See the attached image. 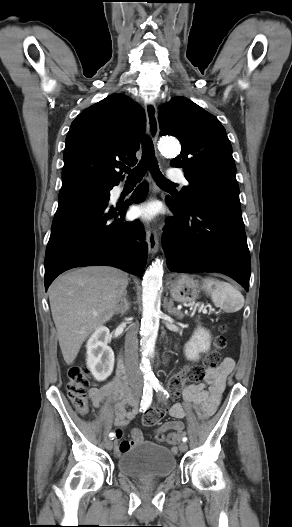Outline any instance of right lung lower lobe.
Instances as JSON below:
<instances>
[{
	"instance_id": "right-lung-lower-lobe-1",
	"label": "right lung lower lobe",
	"mask_w": 292,
	"mask_h": 527,
	"mask_svg": "<svg viewBox=\"0 0 292 527\" xmlns=\"http://www.w3.org/2000/svg\"><path fill=\"white\" fill-rule=\"evenodd\" d=\"M141 184L126 203L109 206L110 194L64 190L54 216L45 255V289L62 272L74 267L107 265L135 275L144 271L147 243L138 221L124 222L128 205L144 200Z\"/></svg>"
}]
</instances>
